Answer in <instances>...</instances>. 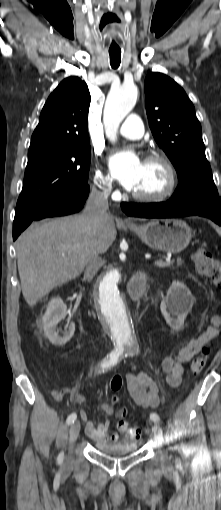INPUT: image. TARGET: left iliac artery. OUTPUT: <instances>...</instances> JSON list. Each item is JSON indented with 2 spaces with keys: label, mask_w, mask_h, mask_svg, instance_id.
<instances>
[{
  "label": "left iliac artery",
  "mask_w": 221,
  "mask_h": 510,
  "mask_svg": "<svg viewBox=\"0 0 221 510\" xmlns=\"http://www.w3.org/2000/svg\"><path fill=\"white\" fill-rule=\"evenodd\" d=\"M150 418H151L153 421H155V422L160 421V417H159V415H158V414H156V413H151V414H150Z\"/></svg>",
  "instance_id": "44dca946"
}]
</instances>
